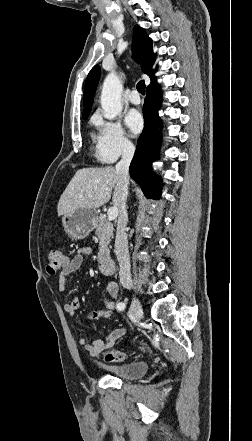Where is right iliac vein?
<instances>
[{
    "label": "right iliac vein",
    "mask_w": 252,
    "mask_h": 441,
    "mask_svg": "<svg viewBox=\"0 0 252 441\" xmlns=\"http://www.w3.org/2000/svg\"><path fill=\"white\" fill-rule=\"evenodd\" d=\"M130 313L133 316L134 324L137 325L144 314L142 307L140 305V302L137 298H133V300H132V304L130 307Z\"/></svg>",
    "instance_id": "right-iliac-vein-1"
}]
</instances>
